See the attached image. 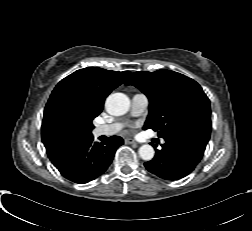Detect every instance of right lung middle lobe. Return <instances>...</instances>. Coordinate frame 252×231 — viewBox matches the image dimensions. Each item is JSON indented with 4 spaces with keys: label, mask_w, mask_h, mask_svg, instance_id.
Segmentation results:
<instances>
[{
    "label": "right lung middle lobe",
    "mask_w": 252,
    "mask_h": 231,
    "mask_svg": "<svg viewBox=\"0 0 252 231\" xmlns=\"http://www.w3.org/2000/svg\"><path fill=\"white\" fill-rule=\"evenodd\" d=\"M94 118L80 111L70 100L57 98L47 109L45 124L48 132L55 139L72 142L91 134Z\"/></svg>",
    "instance_id": "1"
}]
</instances>
